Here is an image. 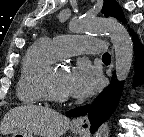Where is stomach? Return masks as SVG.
<instances>
[{
  "instance_id": "obj_1",
  "label": "stomach",
  "mask_w": 144,
  "mask_h": 137,
  "mask_svg": "<svg viewBox=\"0 0 144 137\" xmlns=\"http://www.w3.org/2000/svg\"><path fill=\"white\" fill-rule=\"evenodd\" d=\"M75 132L79 135H83V133L79 130H75ZM12 137H33V135L28 133L17 132V133H13Z\"/></svg>"
}]
</instances>
